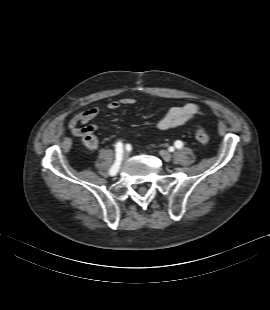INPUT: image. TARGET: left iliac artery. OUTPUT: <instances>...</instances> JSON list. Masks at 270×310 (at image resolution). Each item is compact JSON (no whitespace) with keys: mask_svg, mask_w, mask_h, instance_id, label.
I'll return each mask as SVG.
<instances>
[{"mask_svg":"<svg viewBox=\"0 0 270 310\" xmlns=\"http://www.w3.org/2000/svg\"><path fill=\"white\" fill-rule=\"evenodd\" d=\"M182 146H183V142H182V141L177 140V141L175 142V147H176V148L180 149V148H182Z\"/></svg>","mask_w":270,"mask_h":310,"instance_id":"1","label":"left iliac artery"}]
</instances>
